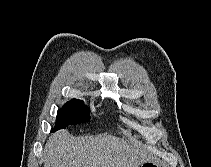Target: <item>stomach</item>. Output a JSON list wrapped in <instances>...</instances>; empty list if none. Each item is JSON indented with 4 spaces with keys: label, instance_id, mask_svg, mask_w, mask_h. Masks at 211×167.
<instances>
[{
    "label": "stomach",
    "instance_id": "obj_1",
    "mask_svg": "<svg viewBox=\"0 0 211 167\" xmlns=\"http://www.w3.org/2000/svg\"><path fill=\"white\" fill-rule=\"evenodd\" d=\"M138 167H161L157 161L147 160L138 165Z\"/></svg>",
    "mask_w": 211,
    "mask_h": 167
}]
</instances>
